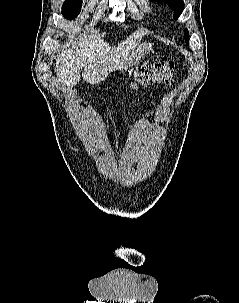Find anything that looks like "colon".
Instances as JSON below:
<instances>
[{
  "label": "colon",
  "instance_id": "obj_1",
  "mask_svg": "<svg viewBox=\"0 0 239 303\" xmlns=\"http://www.w3.org/2000/svg\"><path fill=\"white\" fill-rule=\"evenodd\" d=\"M177 67L172 62H155L144 64L135 75L131 85L134 94L142 93L147 87L155 83L170 84L174 80Z\"/></svg>",
  "mask_w": 239,
  "mask_h": 303
}]
</instances>
